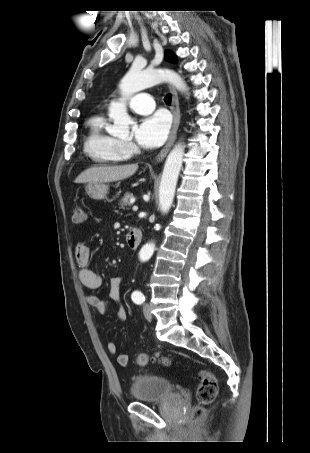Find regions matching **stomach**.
Returning <instances> with one entry per match:
<instances>
[{"instance_id":"stomach-1","label":"stomach","mask_w":310,"mask_h":453,"mask_svg":"<svg viewBox=\"0 0 310 453\" xmlns=\"http://www.w3.org/2000/svg\"><path fill=\"white\" fill-rule=\"evenodd\" d=\"M108 186L103 183L88 184L86 193L93 199H103L107 194Z\"/></svg>"}]
</instances>
